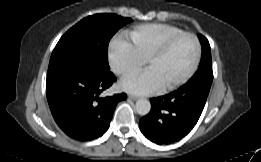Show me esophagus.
Returning <instances> with one entry per match:
<instances>
[{"mask_svg": "<svg viewBox=\"0 0 261 162\" xmlns=\"http://www.w3.org/2000/svg\"><path fill=\"white\" fill-rule=\"evenodd\" d=\"M128 98H129L130 100H133V101L138 100V97L133 96V95H128Z\"/></svg>", "mask_w": 261, "mask_h": 162, "instance_id": "1", "label": "esophagus"}]
</instances>
